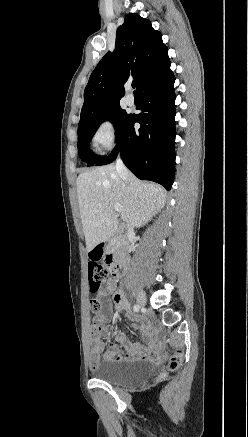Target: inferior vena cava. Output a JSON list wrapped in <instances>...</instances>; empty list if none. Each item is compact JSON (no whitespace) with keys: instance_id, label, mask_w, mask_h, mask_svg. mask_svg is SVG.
Instances as JSON below:
<instances>
[{"instance_id":"602c4592","label":"inferior vena cava","mask_w":248,"mask_h":437,"mask_svg":"<svg viewBox=\"0 0 248 437\" xmlns=\"http://www.w3.org/2000/svg\"><path fill=\"white\" fill-rule=\"evenodd\" d=\"M116 170L118 174L121 176V178L128 180L130 177V173L126 166L124 165L123 161L120 159V157L116 160Z\"/></svg>"}]
</instances>
